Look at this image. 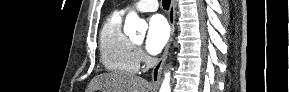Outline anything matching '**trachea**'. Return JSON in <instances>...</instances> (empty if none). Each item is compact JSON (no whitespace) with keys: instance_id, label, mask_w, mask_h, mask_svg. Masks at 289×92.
I'll list each match as a JSON object with an SVG mask.
<instances>
[{"instance_id":"obj_1","label":"trachea","mask_w":289,"mask_h":92,"mask_svg":"<svg viewBox=\"0 0 289 92\" xmlns=\"http://www.w3.org/2000/svg\"><path fill=\"white\" fill-rule=\"evenodd\" d=\"M171 4V0H163L162 5L165 10H168Z\"/></svg>"}]
</instances>
